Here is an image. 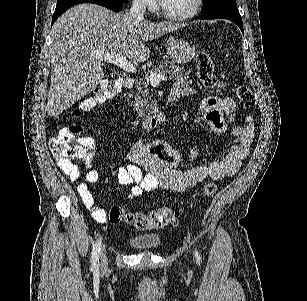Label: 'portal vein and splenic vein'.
Instances as JSON below:
<instances>
[{
  "instance_id": "1",
  "label": "portal vein and splenic vein",
  "mask_w": 307,
  "mask_h": 301,
  "mask_svg": "<svg viewBox=\"0 0 307 301\" xmlns=\"http://www.w3.org/2000/svg\"><path fill=\"white\" fill-rule=\"evenodd\" d=\"M98 58H103L106 62H113V64H117L123 70H127V72H135L136 64H132L127 60L126 56H122V54H95ZM167 76L165 74H157V72H151L149 74L147 80L151 82L152 86H156L159 84L160 80H166Z\"/></svg>"
}]
</instances>
